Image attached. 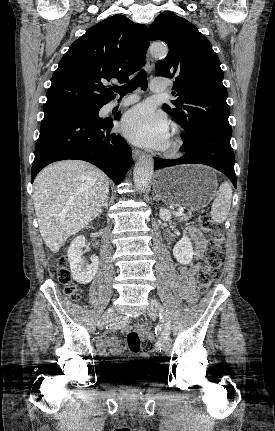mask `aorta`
<instances>
[{
  "label": "aorta",
  "mask_w": 275,
  "mask_h": 431,
  "mask_svg": "<svg viewBox=\"0 0 275 431\" xmlns=\"http://www.w3.org/2000/svg\"><path fill=\"white\" fill-rule=\"evenodd\" d=\"M150 52L155 58H164L168 53V48L165 45L153 44L150 48ZM153 171V159L147 155L141 156L133 172L134 183L139 191H144L148 187Z\"/></svg>",
  "instance_id": "aorta-1"
}]
</instances>
